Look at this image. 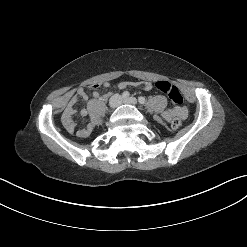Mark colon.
Returning a JSON list of instances; mask_svg holds the SVG:
<instances>
[{"label": "colon", "instance_id": "colon-1", "mask_svg": "<svg viewBox=\"0 0 247 247\" xmlns=\"http://www.w3.org/2000/svg\"><path fill=\"white\" fill-rule=\"evenodd\" d=\"M155 87L160 92L166 94L168 98L177 106H181L183 104V96L179 89L173 85L172 83L164 80L157 81L155 83ZM171 127L174 130H177L181 127V119L174 118L171 122Z\"/></svg>", "mask_w": 247, "mask_h": 247}]
</instances>
